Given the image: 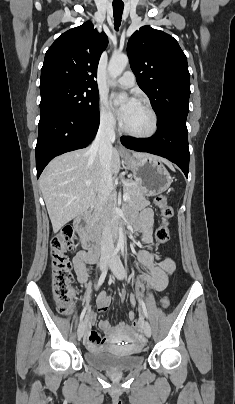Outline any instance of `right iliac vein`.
<instances>
[{
  "label": "right iliac vein",
  "mask_w": 235,
  "mask_h": 404,
  "mask_svg": "<svg viewBox=\"0 0 235 404\" xmlns=\"http://www.w3.org/2000/svg\"><path fill=\"white\" fill-rule=\"evenodd\" d=\"M108 259H109V257L107 256V257H105V258L101 261V263H100V268H101V270H104V269H105V267H106V265H107V263H108ZM84 329H85V323H84V322H81V323L79 324L78 331H77V334H78V338H79V339L82 338V336H83V334H84Z\"/></svg>",
  "instance_id": "1"
}]
</instances>
